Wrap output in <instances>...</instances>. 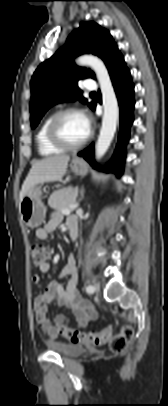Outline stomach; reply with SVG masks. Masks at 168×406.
<instances>
[{"instance_id": "obj_1", "label": "stomach", "mask_w": 168, "mask_h": 406, "mask_svg": "<svg viewBox=\"0 0 168 406\" xmlns=\"http://www.w3.org/2000/svg\"><path fill=\"white\" fill-rule=\"evenodd\" d=\"M70 169L76 175L84 176L88 172L87 163L80 158H73L70 163ZM41 187H33L20 201L19 212L23 223L30 228L40 226L45 218L46 207L42 200Z\"/></svg>"}]
</instances>
